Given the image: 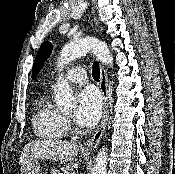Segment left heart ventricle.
Returning a JSON list of instances; mask_svg holds the SVG:
<instances>
[{
	"mask_svg": "<svg viewBox=\"0 0 175 174\" xmlns=\"http://www.w3.org/2000/svg\"><path fill=\"white\" fill-rule=\"evenodd\" d=\"M71 113H72V111L68 112V114H71Z\"/></svg>",
	"mask_w": 175,
	"mask_h": 174,
	"instance_id": "b2bd125f",
	"label": "left heart ventricle"
}]
</instances>
